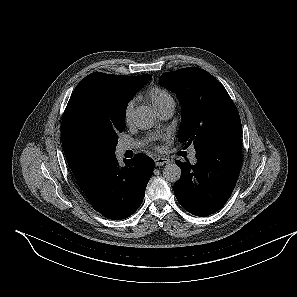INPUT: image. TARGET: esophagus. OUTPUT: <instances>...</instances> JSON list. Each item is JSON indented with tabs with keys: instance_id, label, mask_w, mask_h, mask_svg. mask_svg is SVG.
<instances>
[{
	"instance_id": "34e87169",
	"label": "esophagus",
	"mask_w": 297,
	"mask_h": 297,
	"mask_svg": "<svg viewBox=\"0 0 297 297\" xmlns=\"http://www.w3.org/2000/svg\"><path fill=\"white\" fill-rule=\"evenodd\" d=\"M154 161H155V165H156V166H163V165H165V164L170 163V159H168V158H163V157H158V158H156Z\"/></svg>"
}]
</instances>
